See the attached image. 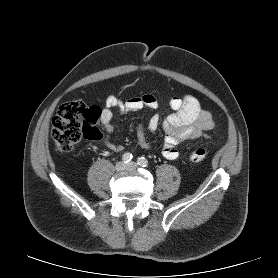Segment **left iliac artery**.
Instances as JSON below:
<instances>
[{"instance_id": "44dca946", "label": "left iliac artery", "mask_w": 278, "mask_h": 278, "mask_svg": "<svg viewBox=\"0 0 278 278\" xmlns=\"http://www.w3.org/2000/svg\"><path fill=\"white\" fill-rule=\"evenodd\" d=\"M138 164L142 167H146L148 165V160L145 157H139Z\"/></svg>"}]
</instances>
